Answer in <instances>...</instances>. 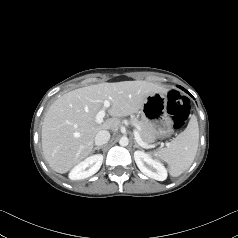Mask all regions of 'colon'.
Segmentation results:
<instances>
[{"instance_id":"colon-1","label":"colon","mask_w":238,"mask_h":238,"mask_svg":"<svg viewBox=\"0 0 238 238\" xmlns=\"http://www.w3.org/2000/svg\"><path fill=\"white\" fill-rule=\"evenodd\" d=\"M167 111L171 116L175 128L184 125L188 118L190 107L188 100L177 91H170L167 96Z\"/></svg>"}]
</instances>
